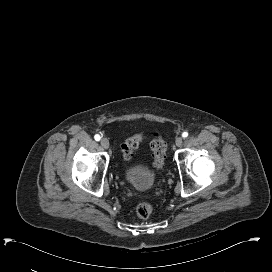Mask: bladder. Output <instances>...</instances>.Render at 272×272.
Listing matches in <instances>:
<instances>
[{
    "instance_id": "1",
    "label": "bladder",
    "mask_w": 272,
    "mask_h": 272,
    "mask_svg": "<svg viewBox=\"0 0 272 272\" xmlns=\"http://www.w3.org/2000/svg\"><path fill=\"white\" fill-rule=\"evenodd\" d=\"M155 175L149 171L140 168H131L125 174V180L134 188L140 190H149L155 183Z\"/></svg>"
}]
</instances>
